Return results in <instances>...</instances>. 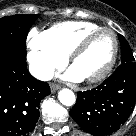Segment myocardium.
I'll return each instance as SVG.
<instances>
[{
	"label": "myocardium",
	"mask_w": 136,
	"mask_h": 136,
	"mask_svg": "<svg viewBox=\"0 0 136 136\" xmlns=\"http://www.w3.org/2000/svg\"><path fill=\"white\" fill-rule=\"evenodd\" d=\"M104 33H109L113 37L114 41V48H113V53L112 56L109 60V62L106 64V66L100 70L98 73L88 76L83 78L86 82L88 83H97L105 79L113 70L117 58H118V53H119V41L117 38L116 33L108 28H100L94 32L89 33L86 35L70 52L69 54V64L73 66L77 58L82 55L86 49L89 47V45L92 43V41L97 38L98 36L104 34Z\"/></svg>",
	"instance_id": "obj_1"
}]
</instances>
